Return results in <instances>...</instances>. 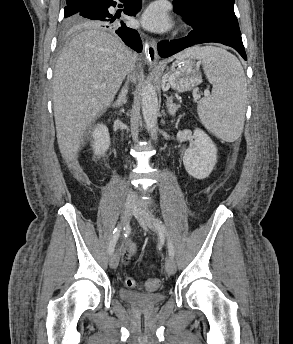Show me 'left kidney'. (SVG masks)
<instances>
[{
	"label": "left kidney",
	"mask_w": 293,
	"mask_h": 344,
	"mask_svg": "<svg viewBox=\"0 0 293 344\" xmlns=\"http://www.w3.org/2000/svg\"><path fill=\"white\" fill-rule=\"evenodd\" d=\"M194 143L184 153L183 164L195 179L207 178L217 162V148L211 138L201 129L194 130Z\"/></svg>",
	"instance_id": "obj_1"
}]
</instances>
